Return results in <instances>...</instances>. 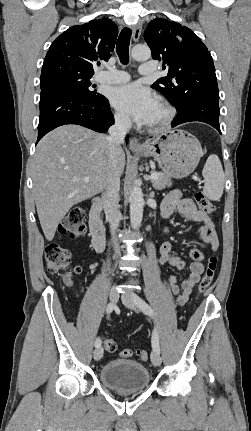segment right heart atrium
I'll return each mask as SVG.
<instances>
[{
	"mask_svg": "<svg viewBox=\"0 0 251 431\" xmlns=\"http://www.w3.org/2000/svg\"><path fill=\"white\" fill-rule=\"evenodd\" d=\"M114 120L116 125L121 128H127L129 126V120L121 113H115Z\"/></svg>",
	"mask_w": 251,
	"mask_h": 431,
	"instance_id": "1",
	"label": "right heart atrium"
}]
</instances>
